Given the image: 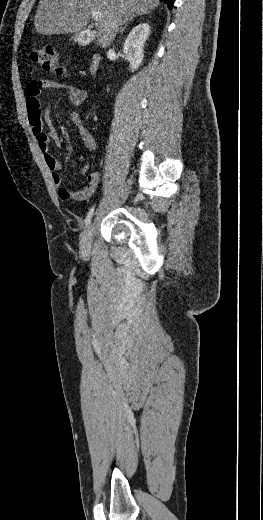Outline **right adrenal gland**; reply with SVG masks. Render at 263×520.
<instances>
[{"label": "right adrenal gland", "mask_w": 263, "mask_h": 520, "mask_svg": "<svg viewBox=\"0 0 263 520\" xmlns=\"http://www.w3.org/2000/svg\"><path fill=\"white\" fill-rule=\"evenodd\" d=\"M143 14L141 15H138V16H142ZM138 16H135V17H138ZM134 18H131L126 24L125 26L120 30V33H122L124 31V29L126 28L127 24L130 23L131 21H133Z\"/></svg>", "instance_id": "2a0ac1e0"}]
</instances>
